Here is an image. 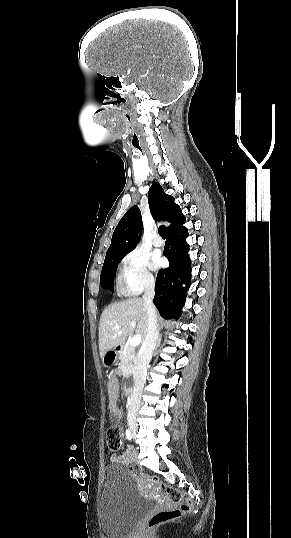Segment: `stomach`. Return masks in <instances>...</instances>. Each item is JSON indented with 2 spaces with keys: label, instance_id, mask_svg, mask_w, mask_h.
I'll return each mask as SVG.
<instances>
[{
  "label": "stomach",
  "instance_id": "1",
  "mask_svg": "<svg viewBox=\"0 0 291 538\" xmlns=\"http://www.w3.org/2000/svg\"><path fill=\"white\" fill-rule=\"evenodd\" d=\"M117 360H118V354L115 349L106 351L104 356L102 357L103 365L108 368L116 364Z\"/></svg>",
  "mask_w": 291,
  "mask_h": 538
}]
</instances>
